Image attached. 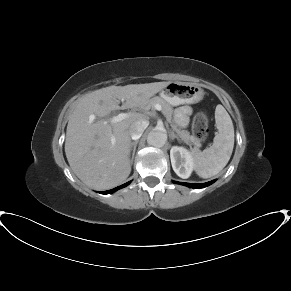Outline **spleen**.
Segmentation results:
<instances>
[{
    "label": "spleen",
    "instance_id": "3e777b00",
    "mask_svg": "<svg viewBox=\"0 0 291 291\" xmlns=\"http://www.w3.org/2000/svg\"><path fill=\"white\" fill-rule=\"evenodd\" d=\"M215 122L218 133L213 139V145L200 151L191 150L194 157V168L202 178L217 175L228 163L234 147V127L230 115L222 105H217Z\"/></svg>",
    "mask_w": 291,
    "mask_h": 291
}]
</instances>
